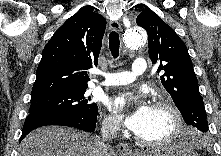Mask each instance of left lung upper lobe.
<instances>
[{
  "label": "left lung upper lobe",
  "mask_w": 221,
  "mask_h": 156,
  "mask_svg": "<svg viewBox=\"0 0 221 156\" xmlns=\"http://www.w3.org/2000/svg\"><path fill=\"white\" fill-rule=\"evenodd\" d=\"M148 33L149 57L158 63L161 82L171 95L187 125L208 131V122L198 81L185 43L157 14L140 13L136 19Z\"/></svg>",
  "instance_id": "5c2ea615"
}]
</instances>
